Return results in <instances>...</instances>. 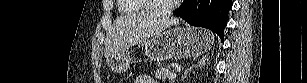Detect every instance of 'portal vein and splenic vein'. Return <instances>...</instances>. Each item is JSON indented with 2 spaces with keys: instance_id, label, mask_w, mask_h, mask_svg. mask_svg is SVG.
I'll list each match as a JSON object with an SVG mask.
<instances>
[{
  "instance_id": "18ae733b",
  "label": "portal vein and splenic vein",
  "mask_w": 307,
  "mask_h": 83,
  "mask_svg": "<svg viewBox=\"0 0 307 83\" xmlns=\"http://www.w3.org/2000/svg\"><path fill=\"white\" fill-rule=\"evenodd\" d=\"M168 78L170 80L175 79L176 78V73H171Z\"/></svg>"
}]
</instances>
